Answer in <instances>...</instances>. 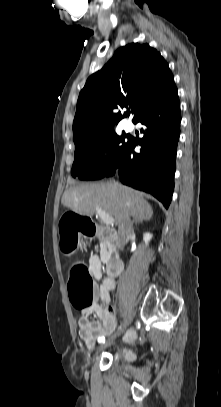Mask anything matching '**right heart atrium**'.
<instances>
[{
	"label": "right heart atrium",
	"mask_w": 221,
	"mask_h": 407,
	"mask_svg": "<svg viewBox=\"0 0 221 407\" xmlns=\"http://www.w3.org/2000/svg\"><path fill=\"white\" fill-rule=\"evenodd\" d=\"M104 154H105V151H100V152H99V157H103Z\"/></svg>",
	"instance_id": "1"
}]
</instances>
